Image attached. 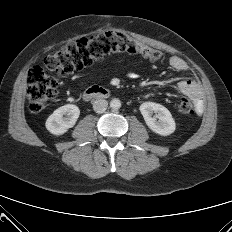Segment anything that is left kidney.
<instances>
[{
    "label": "left kidney",
    "mask_w": 232,
    "mask_h": 232,
    "mask_svg": "<svg viewBox=\"0 0 232 232\" xmlns=\"http://www.w3.org/2000/svg\"><path fill=\"white\" fill-rule=\"evenodd\" d=\"M140 112L147 126L161 136H167L175 131L176 124L170 111L161 104L145 102L140 105ZM153 113L155 116L152 117Z\"/></svg>",
    "instance_id": "obj_1"
}]
</instances>
